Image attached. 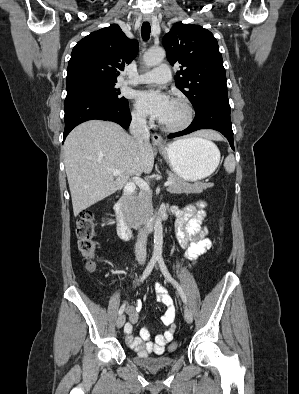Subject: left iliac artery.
<instances>
[{"mask_svg":"<svg viewBox=\"0 0 299 394\" xmlns=\"http://www.w3.org/2000/svg\"><path fill=\"white\" fill-rule=\"evenodd\" d=\"M157 261H158L159 267H160L164 277L166 278V280L171 282L177 288V290H178L183 302L186 303L187 302L186 296H185L181 286L178 284V282L176 280L173 279V277L169 273V271H168V269H167V267L165 265V262L163 260V257L162 256H158L157 257Z\"/></svg>","mask_w":299,"mask_h":394,"instance_id":"left-iliac-artery-1","label":"left iliac artery"}]
</instances>
